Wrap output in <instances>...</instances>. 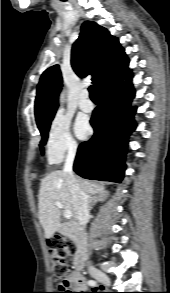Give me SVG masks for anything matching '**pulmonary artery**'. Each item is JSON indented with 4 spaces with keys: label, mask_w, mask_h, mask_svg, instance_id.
Segmentation results:
<instances>
[{
    "label": "pulmonary artery",
    "mask_w": 170,
    "mask_h": 293,
    "mask_svg": "<svg viewBox=\"0 0 170 293\" xmlns=\"http://www.w3.org/2000/svg\"><path fill=\"white\" fill-rule=\"evenodd\" d=\"M79 107L84 112H91L94 108L92 101L89 99L88 91H83L80 95Z\"/></svg>",
    "instance_id": "e3ab8cb5"
}]
</instances>
